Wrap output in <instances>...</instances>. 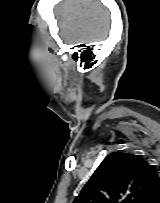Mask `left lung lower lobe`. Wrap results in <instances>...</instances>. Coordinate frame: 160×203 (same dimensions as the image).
Masks as SVG:
<instances>
[{
    "label": "left lung lower lobe",
    "instance_id": "obj_1",
    "mask_svg": "<svg viewBox=\"0 0 160 203\" xmlns=\"http://www.w3.org/2000/svg\"><path fill=\"white\" fill-rule=\"evenodd\" d=\"M152 203H160V191L158 192L157 196L155 199L152 201Z\"/></svg>",
    "mask_w": 160,
    "mask_h": 203
}]
</instances>
